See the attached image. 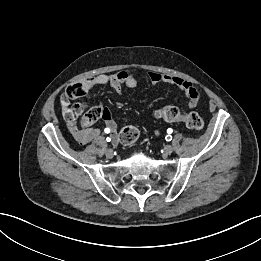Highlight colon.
I'll use <instances>...</instances> for the list:
<instances>
[{"instance_id":"1","label":"colon","mask_w":261,"mask_h":261,"mask_svg":"<svg viewBox=\"0 0 261 261\" xmlns=\"http://www.w3.org/2000/svg\"><path fill=\"white\" fill-rule=\"evenodd\" d=\"M84 89L81 82L74 83L67 88L61 98V103L64 107L69 108L67 116L69 118H76L83 114L86 121L95 122L99 118H103V112L99 106H94L86 110L83 104H75L69 107V101L80 98L83 96ZM155 116L158 119H163L166 122H178L182 121L185 125L192 130H201L204 127V121L202 117L195 112L187 114H181L178 108L174 106H166L155 112ZM139 138V130L135 126L124 127L120 134L119 140L122 144L131 145L135 143Z\"/></svg>"}]
</instances>
